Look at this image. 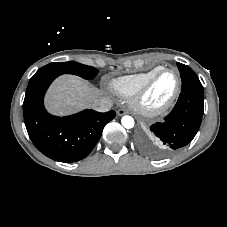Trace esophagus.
Segmentation results:
<instances>
[{"mask_svg":"<svg viewBox=\"0 0 227 227\" xmlns=\"http://www.w3.org/2000/svg\"><path fill=\"white\" fill-rule=\"evenodd\" d=\"M127 112L124 110V109H119L118 111H117V115L118 116H123V115H125Z\"/></svg>","mask_w":227,"mask_h":227,"instance_id":"34e87169","label":"esophagus"}]
</instances>
